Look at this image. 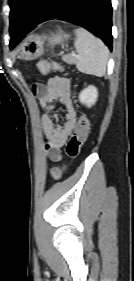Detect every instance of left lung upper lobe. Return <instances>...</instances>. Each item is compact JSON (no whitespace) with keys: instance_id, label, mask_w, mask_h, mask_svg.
I'll use <instances>...</instances> for the list:
<instances>
[{"instance_id":"1","label":"left lung upper lobe","mask_w":134,"mask_h":281,"mask_svg":"<svg viewBox=\"0 0 134 281\" xmlns=\"http://www.w3.org/2000/svg\"><path fill=\"white\" fill-rule=\"evenodd\" d=\"M46 0H9L10 48L16 45L14 33L25 34L35 15ZM13 35V36H12Z\"/></svg>"}]
</instances>
